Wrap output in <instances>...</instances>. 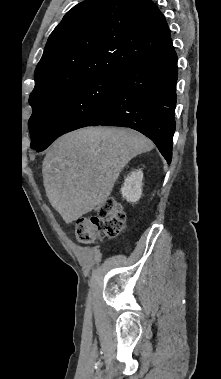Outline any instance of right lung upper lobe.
Listing matches in <instances>:
<instances>
[{
	"instance_id": "1",
	"label": "right lung upper lobe",
	"mask_w": 221,
	"mask_h": 379,
	"mask_svg": "<svg viewBox=\"0 0 221 379\" xmlns=\"http://www.w3.org/2000/svg\"><path fill=\"white\" fill-rule=\"evenodd\" d=\"M172 44L151 0H85L48 38L29 101L101 73L121 72Z\"/></svg>"
}]
</instances>
